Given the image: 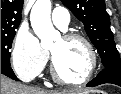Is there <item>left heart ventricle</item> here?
Wrapping results in <instances>:
<instances>
[{"mask_svg":"<svg viewBox=\"0 0 121 94\" xmlns=\"http://www.w3.org/2000/svg\"><path fill=\"white\" fill-rule=\"evenodd\" d=\"M60 75L67 80L82 79L89 68V54L83 42L58 39L50 48Z\"/></svg>","mask_w":121,"mask_h":94,"instance_id":"obj_1","label":"left heart ventricle"}]
</instances>
